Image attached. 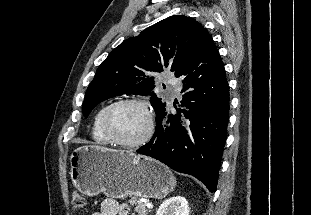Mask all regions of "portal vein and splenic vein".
Wrapping results in <instances>:
<instances>
[{
	"mask_svg": "<svg viewBox=\"0 0 311 215\" xmlns=\"http://www.w3.org/2000/svg\"><path fill=\"white\" fill-rule=\"evenodd\" d=\"M146 207H147V208H153V205H152L151 203H147V204H146Z\"/></svg>",
	"mask_w": 311,
	"mask_h": 215,
	"instance_id": "18ae733b",
	"label": "portal vein and splenic vein"
}]
</instances>
